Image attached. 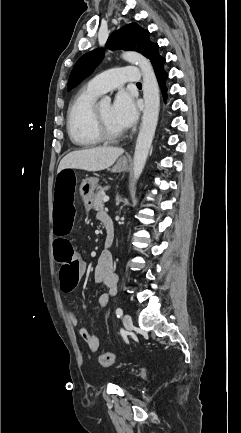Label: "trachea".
<instances>
[{
	"label": "trachea",
	"instance_id": "obj_1",
	"mask_svg": "<svg viewBox=\"0 0 241 433\" xmlns=\"http://www.w3.org/2000/svg\"><path fill=\"white\" fill-rule=\"evenodd\" d=\"M137 85H141V83H140V82H138V83H137Z\"/></svg>",
	"mask_w": 241,
	"mask_h": 433
}]
</instances>
